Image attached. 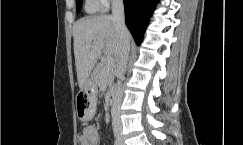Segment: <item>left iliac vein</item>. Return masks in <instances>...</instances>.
<instances>
[{"instance_id": "obj_1", "label": "left iliac vein", "mask_w": 243, "mask_h": 145, "mask_svg": "<svg viewBox=\"0 0 243 145\" xmlns=\"http://www.w3.org/2000/svg\"><path fill=\"white\" fill-rule=\"evenodd\" d=\"M120 145H125L122 138H120Z\"/></svg>"}]
</instances>
